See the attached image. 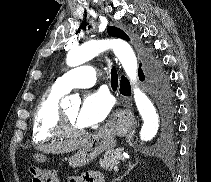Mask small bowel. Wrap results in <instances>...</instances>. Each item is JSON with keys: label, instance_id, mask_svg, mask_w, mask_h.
Here are the masks:
<instances>
[{"label": "small bowel", "instance_id": "obj_1", "mask_svg": "<svg viewBox=\"0 0 211 182\" xmlns=\"http://www.w3.org/2000/svg\"><path fill=\"white\" fill-rule=\"evenodd\" d=\"M32 182H37L33 174H32ZM68 182H105V180L100 172L91 171V172H86L80 176L70 177L68 179Z\"/></svg>", "mask_w": 211, "mask_h": 182}]
</instances>
